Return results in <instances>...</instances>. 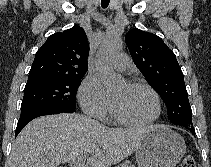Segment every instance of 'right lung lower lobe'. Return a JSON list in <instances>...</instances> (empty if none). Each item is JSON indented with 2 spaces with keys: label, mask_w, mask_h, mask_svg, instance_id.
Here are the masks:
<instances>
[{
  "label": "right lung lower lobe",
  "mask_w": 211,
  "mask_h": 167,
  "mask_svg": "<svg viewBox=\"0 0 211 167\" xmlns=\"http://www.w3.org/2000/svg\"><path fill=\"white\" fill-rule=\"evenodd\" d=\"M75 112V109H69V108H44L39 109L35 111L28 112L26 114H23L20 116L17 127H16V133L15 136H17L20 131L34 118H37L39 116L43 115H51V114H59V113H72Z\"/></svg>",
  "instance_id": "1"
}]
</instances>
